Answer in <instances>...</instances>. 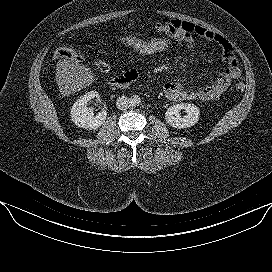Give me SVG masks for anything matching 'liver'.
I'll list each match as a JSON object with an SVG mask.
<instances>
[{
	"label": "liver",
	"instance_id": "obj_1",
	"mask_svg": "<svg viewBox=\"0 0 272 272\" xmlns=\"http://www.w3.org/2000/svg\"><path fill=\"white\" fill-rule=\"evenodd\" d=\"M95 80L93 72L85 65L69 60L56 64V83L63 96H68L89 86Z\"/></svg>",
	"mask_w": 272,
	"mask_h": 272
}]
</instances>
